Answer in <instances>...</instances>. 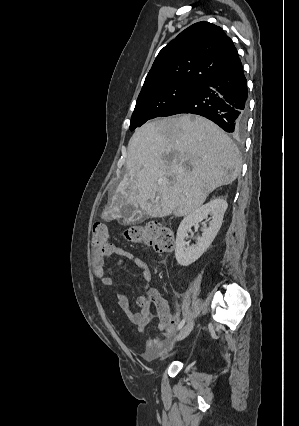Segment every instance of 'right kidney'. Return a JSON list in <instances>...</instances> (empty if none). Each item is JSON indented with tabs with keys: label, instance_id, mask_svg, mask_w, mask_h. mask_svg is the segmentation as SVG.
<instances>
[{
	"label": "right kidney",
	"instance_id": "right-kidney-1",
	"mask_svg": "<svg viewBox=\"0 0 299 426\" xmlns=\"http://www.w3.org/2000/svg\"><path fill=\"white\" fill-rule=\"evenodd\" d=\"M228 207L226 200L223 198H214L207 204L200 206L192 213L188 214L181 221L176 235L175 257L181 266H189L195 262L209 248L223 222L224 213ZM212 215V220L207 227L204 224L202 235L197 239L195 245L188 247L185 238L191 227L203 219H207L208 215Z\"/></svg>",
	"mask_w": 299,
	"mask_h": 426
}]
</instances>
